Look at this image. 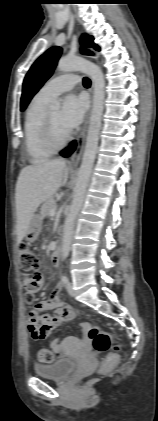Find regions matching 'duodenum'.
I'll list each match as a JSON object with an SVG mask.
<instances>
[{"mask_svg": "<svg viewBox=\"0 0 158 421\" xmlns=\"http://www.w3.org/2000/svg\"><path fill=\"white\" fill-rule=\"evenodd\" d=\"M51 261H52V264L54 266H58L60 264V261H61V250L59 248H56L54 250V252L52 254V257H51Z\"/></svg>", "mask_w": 158, "mask_h": 421, "instance_id": "410a0bca", "label": "duodenum"}]
</instances>
